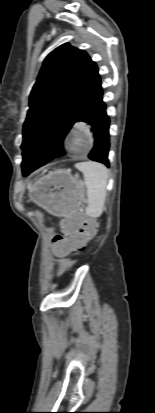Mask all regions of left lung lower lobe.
<instances>
[{
    "mask_svg": "<svg viewBox=\"0 0 155 413\" xmlns=\"http://www.w3.org/2000/svg\"><path fill=\"white\" fill-rule=\"evenodd\" d=\"M78 122H84L89 126L94 139V148L89 154V158L101 162L109 167L108 151H109V117L106 114V106L103 102V90L101 82L99 86L90 96L88 101L83 106L79 116ZM67 133H62L55 139V143L60 146L59 151L50 159L59 157L64 154L63 140ZM49 160V161H50ZM47 161V162H49ZM47 162L41 164L35 169L45 165ZM35 169L24 173L27 176Z\"/></svg>",
    "mask_w": 155,
    "mask_h": 413,
    "instance_id": "obj_1",
    "label": "left lung lower lobe"
}]
</instances>
